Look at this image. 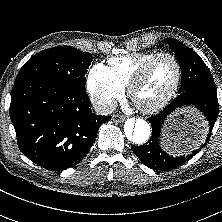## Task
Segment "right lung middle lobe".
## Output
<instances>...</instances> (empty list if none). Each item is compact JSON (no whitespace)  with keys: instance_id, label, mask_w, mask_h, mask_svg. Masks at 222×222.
I'll use <instances>...</instances> for the list:
<instances>
[{"instance_id":"1","label":"right lung middle lobe","mask_w":222,"mask_h":222,"mask_svg":"<svg viewBox=\"0 0 222 222\" xmlns=\"http://www.w3.org/2000/svg\"><path fill=\"white\" fill-rule=\"evenodd\" d=\"M93 58L71 46L43 50L31 57L19 71L15 82L42 79L85 91V74Z\"/></svg>"}]
</instances>
